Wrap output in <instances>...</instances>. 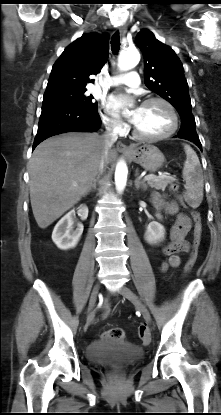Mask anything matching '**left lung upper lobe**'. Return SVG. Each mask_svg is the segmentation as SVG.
<instances>
[{
  "label": "left lung upper lobe",
  "instance_id": "obj_1",
  "mask_svg": "<svg viewBox=\"0 0 221 415\" xmlns=\"http://www.w3.org/2000/svg\"><path fill=\"white\" fill-rule=\"evenodd\" d=\"M135 42L144 56L145 85L175 107L181 126H196L183 65L175 52L147 29L137 34Z\"/></svg>",
  "mask_w": 221,
  "mask_h": 415
}]
</instances>
